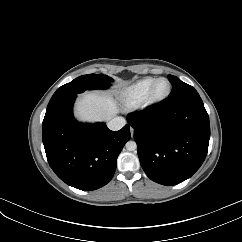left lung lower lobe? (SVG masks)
I'll return each mask as SVG.
<instances>
[{
  "mask_svg": "<svg viewBox=\"0 0 242 242\" xmlns=\"http://www.w3.org/2000/svg\"><path fill=\"white\" fill-rule=\"evenodd\" d=\"M127 121L134 128L140 164L151 180L179 184L205 160L210 124L199 95L133 112Z\"/></svg>",
  "mask_w": 242,
  "mask_h": 242,
  "instance_id": "obj_1",
  "label": "left lung lower lobe"
}]
</instances>
